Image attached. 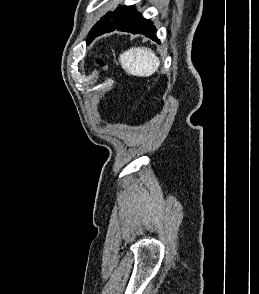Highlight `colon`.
Returning a JSON list of instances; mask_svg holds the SVG:
<instances>
[{"label": "colon", "instance_id": "obj_1", "mask_svg": "<svg viewBox=\"0 0 259 294\" xmlns=\"http://www.w3.org/2000/svg\"><path fill=\"white\" fill-rule=\"evenodd\" d=\"M100 66H104V63L102 61L98 62Z\"/></svg>", "mask_w": 259, "mask_h": 294}]
</instances>
